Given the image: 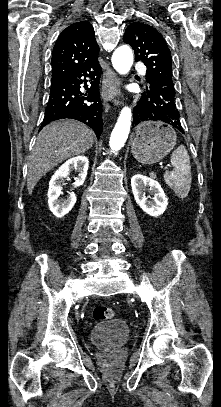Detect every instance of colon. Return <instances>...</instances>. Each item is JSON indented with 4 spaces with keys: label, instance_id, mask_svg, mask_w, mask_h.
<instances>
[{
    "label": "colon",
    "instance_id": "1",
    "mask_svg": "<svg viewBox=\"0 0 221 407\" xmlns=\"http://www.w3.org/2000/svg\"><path fill=\"white\" fill-rule=\"evenodd\" d=\"M114 310L108 306H96L93 310V317L98 322L114 319Z\"/></svg>",
    "mask_w": 221,
    "mask_h": 407
}]
</instances>
